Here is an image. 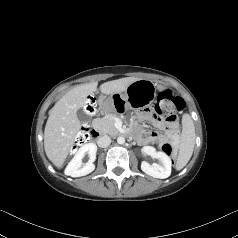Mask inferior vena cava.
Wrapping results in <instances>:
<instances>
[{
	"instance_id": "1",
	"label": "inferior vena cava",
	"mask_w": 238,
	"mask_h": 238,
	"mask_svg": "<svg viewBox=\"0 0 238 238\" xmlns=\"http://www.w3.org/2000/svg\"><path fill=\"white\" fill-rule=\"evenodd\" d=\"M110 143H111V138L107 135H103V136L99 137L97 140V144L101 148H105V147L109 146Z\"/></svg>"
}]
</instances>
